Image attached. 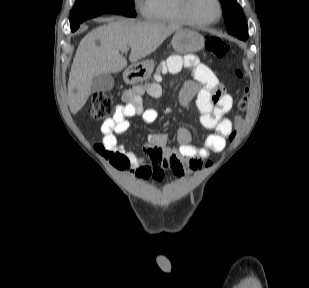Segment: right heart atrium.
Wrapping results in <instances>:
<instances>
[{"label": "right heart atrium", "instance_id": "obj_1", "mask_svg": "<svg viewBox=\"0 0 309 288\" xmlns=\"http://www.w3.org/2000/svg\"><path fill=\"white\" fill-rule=\"evenodd\" d=\"M143 0H135L137 6H141Z\"/></svg>", "mask_w": 309, "mask_h": 288}]
</instances>
